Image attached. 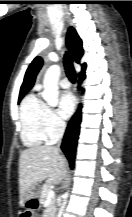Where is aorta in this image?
Returning a JSON list of instances; mask_svg holds the SVG:
<instances>
[{
    "label": "aorta",
    "instance_id": "1",
    "mask_svg": "<svg viewBox=\"0 0 132 217\" xmlns=\"http://www.w3.org/2000/svg\"><path fill=\"white\" fill-rule=\"evenodd\" d=\"M61 73V68L59 65H52L48 68L45 73L43 85L44 91L42 93L43 99L47 102L49 106H55L58 103V81ZM65 206V202L61 207L59 216L62 214V210Z\"/></svg>",
    "mask_w": 132,
    "mask_h": 217
}]
</instances>
